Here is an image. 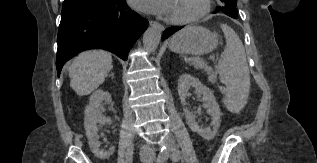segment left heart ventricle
Listing matches in <instances>:
<instances>
[{
    "instance_id": "1",
    "label": "left heart ventricle",
    "mask_w": 317,
    "mask_h": 163,
    "mask_svg": "<svg viewBox=\"0 0 317 163\" xmlns=\"http://www.w3.org/2000/svg\"><path fill=\"white\" fill-rule=\"evenodd\" d=\"M201 0H173L169 16L176 18L188 17L198 11Z\"/></svg>"
}]
</instances>
